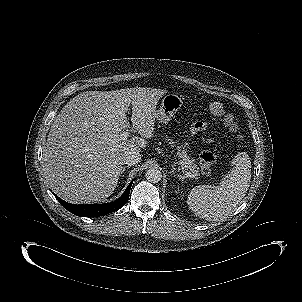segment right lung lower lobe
<instances>
[{
  "label": "right lung lower lobe",
  "mask_w": 302,
  "mask_h": 302,
  "mask_svg": "<svg viewBox=\"0 0 302 302\" xmlns=\"http://www.w3.org/2000/svg\"><path fill=\"white\" fill-rule=\"evenodd\" d=\"M131 185L132 182L128 185L124 194L119 199H117L114 202H110L106 204L74 205L65 202L55 194L54 195L56 199L61 203V205L71 213L81 217H98L117 211L118 209L123 207L129 199V192H130Z\"/></svg>",
  "instance_id": "98d812e1"
}]
</instances>
